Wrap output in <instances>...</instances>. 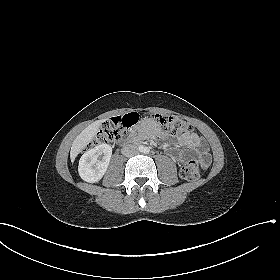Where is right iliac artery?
Returning <instances> with one entry per match:
<instances>
[{
    "mask_svg": "<svg viewBox=\"0 0 280 280\" xmlns=\"http://www.w3.org/2000/svg\"><path fill=\"white\" fill-rule=\"evenodd\" d=\"M139 150H141V151H142V150H143V146H140V147H139Z\"/></svg>",
    "mask_w": 280,
    "mask_h": 280,
    "instance_id": "82829eb1",
    "label": "right iliac artery"
}]
</instances>
